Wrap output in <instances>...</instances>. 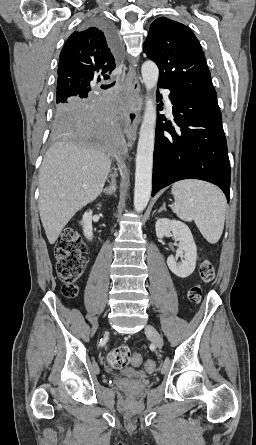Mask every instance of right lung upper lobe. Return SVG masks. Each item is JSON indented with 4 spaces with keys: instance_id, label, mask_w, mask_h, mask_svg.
I'll use <instances>...</instances> for the list:
<instances>
[{
    "instance_id": "obj_1",
    "label": "right lung upper lobe",
    "mask_w": 256,
    "mask_h": 445,
    "mask_svg": "<svg viewBox=\"0 0 256 445\" xmlns=\"http://www.w3.org/2000/svg\"><path fill=\"white\" fill-rule=\"evenodd\" d=\"M117 51L97 25L73 32L61 50L56 100L89 94L93 80L109 79Z\"/></svg>"
}]
</instances>
